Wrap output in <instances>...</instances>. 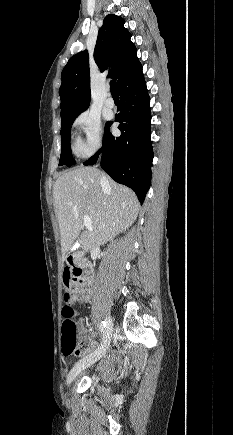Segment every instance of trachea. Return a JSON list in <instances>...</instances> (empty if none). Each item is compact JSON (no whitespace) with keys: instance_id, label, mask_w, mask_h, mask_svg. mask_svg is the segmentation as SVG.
I'll return each mask as SVG.
<instances>
[{"instance_id":"3493384b","label":"trachea","mask_w":233,"mask_h":435,"mask_svg":"<svg viewBox=\"0 0 233 435\" xmlns=\"http://www.w3.org/2000/svg\"><path fill=\"white\" fill-rule=\"evenodd\" d=\"M110 91L112 95H118L116 82L114 80L110 81Z\"/></svg>"}]
</instances>
